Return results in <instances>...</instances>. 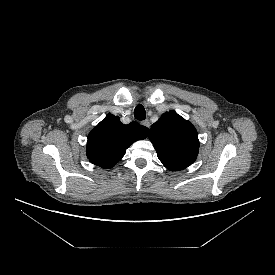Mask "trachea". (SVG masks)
Listing matches in <instances>:
<instances>
[{
	"instance_id": "3493384b",
	"label": "trachea",
	"mask_w": 275,
	"mask_h": 275,
	"mask_svg": "<svg viewBox=\"0 0 275 275\" xmlns=\"http://www.w3.org/2000/svg\"><path fill=\"white\" fill-rule=\"evenodd\" d=\"M134 117L137 120H144L146 118V111L143 105H137L134 109Z\"/></svg>"
}]
</instances>
